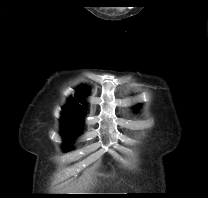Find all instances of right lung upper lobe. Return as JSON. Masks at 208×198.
I'll return each instance as SVG.
<instances>
[{
  "instance_id": "right-lung-upper-lobe-1",
  "label": "right lung upper lobe",
  "mask_w": 208,
  "mask_h": 198,
  "mask_svg": "<svg viewBox=\"0 0 208 198\" xmlns=\"http://www.w3.org/2000/svg\"><path fill=\"white\" fill-rule=\"evenodd\" d=\"M84 94H86V90L83 87H79L77 89V100L69 98L67 105L63 108V117L61 120L82 122L85 109L79 103L85 105Z\"/></svg>"
}]
</instances>
